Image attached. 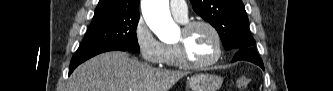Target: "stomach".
<instances>
[{"label":"stomach","mask_w":333,"mask_h":91,"mask_svg":"<svg viewBox=\"0 0 333 91\" xmlns=\"http://www.w3.org/2000/svg\"><path fill=\"white\" fill-rule=\"evenodd\" d=\"M191 91H218L223 79L215 74L201 73L189 78Z\"/></svg>","instance_id":"obj_1"}]
</instances>
